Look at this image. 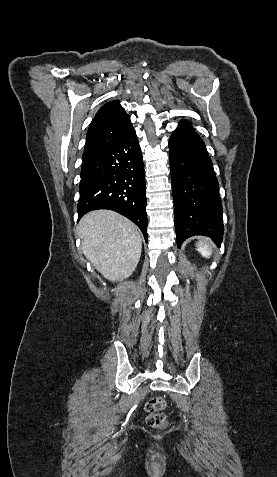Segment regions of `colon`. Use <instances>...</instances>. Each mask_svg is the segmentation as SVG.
<instances>
[{
  "label": "colon",
  "mask_w": 277,
  "mask_h": 477,
  "mask_svg": "<svg viewBox=\"0 0 277 477\" xmlns=\"http://www.w3.org/2000/svg\"><path fill=\"white\" fill-rule=\"evenodd\" d=\"M165 408L166 400L161 396L153 397L146 402V422L150 427L160 429L166 426L167 417L164 413Z\"/></svg>",
  "instance_id": "obj_1"
}]
</instances>
